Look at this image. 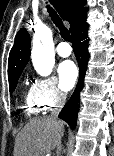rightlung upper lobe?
I'll return each mask as SVG.
<instances>
[{
	"instance_id": "cb5924a9",
	"label": "right lung upper lobe",
	"mask_w": 114,
	"mask_h": 156,
	"mask_svg": "<svg viewBox=\"0 0 114 156\" xmlns=\"http://www.w3.org/2000/svg\"><path fill=\"white\" fill-rule=\"evenodd\" d=\"M63 20L70 23L71 34L86 19L87 8H82L85 0H51ZM30 57V36L23 28L16 37L8 60V78L21 75Z\"/></svg>"
}]
</instances>
